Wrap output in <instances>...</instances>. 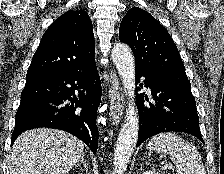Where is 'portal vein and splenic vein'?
<instances>
[{
  "label": "portal vein and splenic vein",
  "mask_w": 224,
  "mask_h": 174,
  "mask_svg": "<svg viewBox=\"0 0 224 174\" xmlns=\"http://www.w3.org/2000/svg\"><path fill=\"white\" fill-rule=\"evenodd\" d=\"M167 168L170 170V169H172V166L171 165H168Z\"/></svg>",
  "instance_id": "1"
}]
</instances>
